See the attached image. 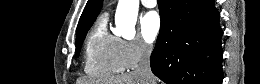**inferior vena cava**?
I'll return each mask as SVG.
<instances>
[{
	"label": "inferior vena cava",
	"instance_id": "obj_1",
	"mask_svg": "<svg viewBox=\"0 0 260 84\" xmlns=\"http://www.w3.org/2000/svg\"><path fill=\"white\" fill-rule=\"evenodd\" d=\"M150 54L151 51L149 49L141 48L139 65L134 73L144 80L145 84H156V79L150 67Z\"/></svg>",
	"mask_w": 260,
	"mask_h": 84
}]
</instances>
